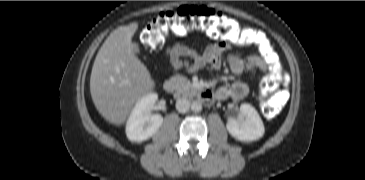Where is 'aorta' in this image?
<instances>
[{"instance_id": "obj_1", "label": "aorta", "mask_w": 365, "mask_h": 180, "mask_svg": "<svg viewBox=\"0 0 365 180\" xmlns=\"http://www.w3.org/2000/svg\"><path fill=\"white\" fill-rule=\"evenodd\" d=\"M191 110L194 112H200L202 110V104L199 101H194L191 104Z\"/></svg>"}]
</instances>
